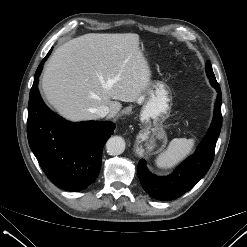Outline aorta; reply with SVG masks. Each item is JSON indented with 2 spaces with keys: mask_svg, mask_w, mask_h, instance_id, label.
Listing matches in <instances>:
<instances>
[{
  "mask_svg": "<svg viewBox=\"0 0 247 247\" xmlns=\"http://www.w3.org/2000/svg\"><path fill=\"white\" fill-rule=\"evenodd\" d=\"M106 150L109 155L117 156L124 152L125 141L120 136H113L106 142Z\"/></svg>",
  "mask_w": 247,
  "mask_h": 247,
  "instance_id": "obj_1",
  "label": "aorta"
}]
</instances>
